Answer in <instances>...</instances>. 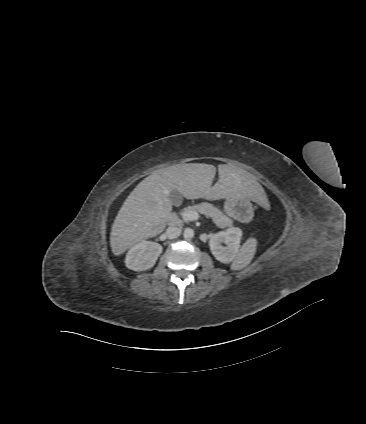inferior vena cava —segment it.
I'll return each mask as SVG.
<instances>
[{
	"instance_id": "1",
	"label": "inferior vena cava",
	"mask_w": 366,
	"mask_h": 424,
	"mask_svg": "<svg viewBox=\"0 0 366 424\" xmlns=\"http://www.w3.org/2000/svg\"><path fill=\"white\" fill-rule=\"evenodd\" d=\"M181 234V229L178 227H168L166 230V235L169 239H175Z\"/></svg>"
}]
</instances>
